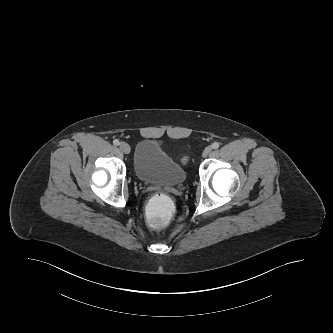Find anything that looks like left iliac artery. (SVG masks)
Listing matches in <instances>:
<instances>
[{"instance_id": "left-iliac-artery-1", "label": "left iliac artery", "mask_w": 333, "mask_h": 333, "mask_svg": "<svg viewBox=\"0 0 333 333\" xmlns=\"http://www.w3.org/2000/svg\"><path fill=\"white\" fill-rule=\"evenodd\" d=\"M219 146H220V144H219L218 142H214V143L212 144V148H213V149H218Z\"/></svg>"}]
</instances>
